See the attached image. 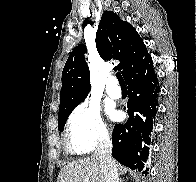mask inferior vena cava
<instances>
[{"label":"inferior vena cava","mask_w":196,"mask_h":182,"mask_svg":"<svg viewBox=\"0 0 196 182\" xmlns=\"http://www.w3.org/2000/svg\"><path fill=\"white\" fill-rule=\"evenodd\" d=\"M112 142L108 134L101 135L94 156L100 161L104 182H120L116 162L112 159Z\"/></svg>","instance_id":"inferior-vena-cava-1"}]
</instances>
